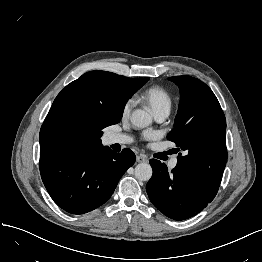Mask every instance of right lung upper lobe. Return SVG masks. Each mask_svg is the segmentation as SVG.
<instances>
[{"instance_id":"obj_1","label":"right lung upper lobe","mask_w":262,"mask_h":262,"mask_svg":"<svg viewBox=\"0 0 262 262\" xmlns=\"http://www.w3.org/2000/svg\"><path fill=\"white\" fill-rule=\"evenodd\" d=\"M141 79L91 71L68 84L55 98L43 122L40 151L102 147L94 122L122 117Z\"/></svg>"}]
</instances>
